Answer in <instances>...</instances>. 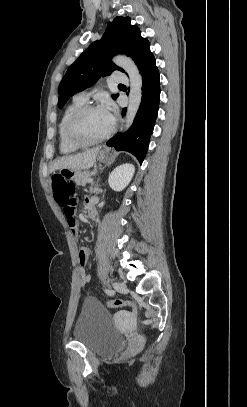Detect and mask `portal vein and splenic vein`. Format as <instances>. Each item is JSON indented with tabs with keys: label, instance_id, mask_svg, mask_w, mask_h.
I'll list each match as a JSON object with an SVG mask.
<instances>
[{
	"label": "portal vein and splenic vein",
	"instance_id": "obj_1",
	"mask_svg": "<svg viewBox=\"0 0 247 407\" xmlns=\"http://www.w3.org/2000/svg\"><path fill=\"white\" fill-rule=\"evenodd\" d=\"M92 181H93L92 178L87 179V182H92Z\"/></svg>",
	"mask_w": 247,
	"mask_h": 407
}]
</instances>
